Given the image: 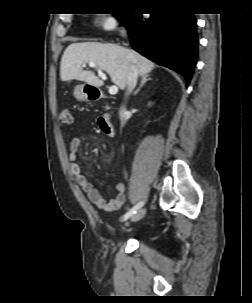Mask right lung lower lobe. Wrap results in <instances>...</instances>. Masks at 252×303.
I'll return each instance as SVG.
<instances>
[{
  "label": "right lung lower lobe",
  "instance_id": "right-lung-lower-lobe-1",
  "mask_svg": "<svg viewBox=\"0 0 252 303\" xmlns=\"http://www.w3.org/2000/svg\"><path fill=\"white\" fill-rule=\"evenodd\" d=\"M127 14L122 19L132 48L150 60L181 73L190 82L196 64V19L190 13Z\"/></svg>",
  "mask_w": 252,
  "mask_h": 303
}]
</instances>
